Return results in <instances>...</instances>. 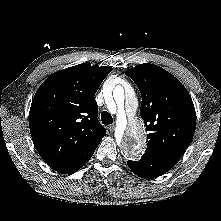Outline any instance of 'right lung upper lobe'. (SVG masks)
Instances as JSON below:
<instances>
[{
  "instance_id": "obj_1",
  "label": "right lung upper lobe",
  "mask_w": 221,
  "mask_h": 221,
  "mask_svg": "<svg viewBox=\"0 0 221 221\" xmlns=\"http://www.w3.org/2000/svg\"><path fill=\"white\" fill-rule=\"evenodd\" d=\"M111 67L82 63L58 71L38 88L29 112L30 133L50 167L60 165L100 143L95 93Z\"/></svg>"
}]
</instances>
